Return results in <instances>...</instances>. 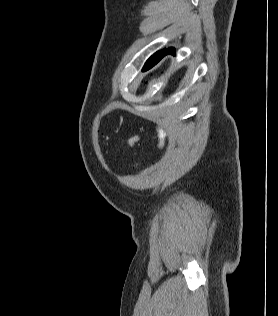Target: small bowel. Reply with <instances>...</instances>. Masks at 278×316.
Masks as SVG:
<instances>
[{
    "label": "small bowel",
    "instance_id": "1",
    "mask_svg": "<svg viewBox=\"0 0 278 316\" xmlns=\"http://www.w3.org/2000/svg\"><path fill=\"white\" fill-rule=\"evenodd\" d=\"M138 140H139L138 136H132L128 139L127 144L129 146H134L138 142Z\"/></svg>",
    "mask_w": 278,
    "mask_h": 316
}]
</instances>
